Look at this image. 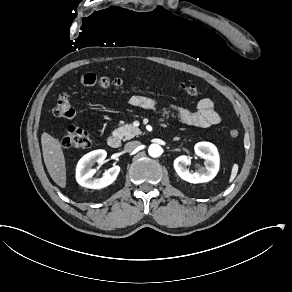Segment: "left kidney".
I'll list each match as a JSON object with an SVG mask.
<instances>
[{
	"mask_svg": "<svg viewBox=\"0 0 292 292\" xmlns=\"http://www.w3.org/2000/svg\"><path fill=\"white\" fill-rule=\"evenodd\" d=\"M194 154L196 157L206 160L203 168L198 172L189 171L187 165L191 162L190 158L187 155H181L173 162L176 173L183 180L193 184L211 181L219 170V155L217 149L211 143L200 142L195 145Z\"/></svg>",
	"mask_w": 292,
	"mask_h": 292,
	"instance_id": "1",
	"label": "left kidney"
}]
</instances>
